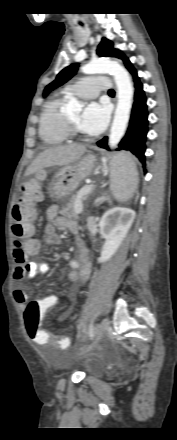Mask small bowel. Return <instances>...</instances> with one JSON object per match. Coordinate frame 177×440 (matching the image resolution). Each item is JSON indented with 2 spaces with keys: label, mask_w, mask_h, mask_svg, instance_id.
I'll return each mask as SVG.
<instances>
[{
  "label": "small bowel",
  "mask_w": 177,
  "mask_h": 440,
  "mask_svg": "<svg viewBox=\"0 0 177 440\" xmlns=\"http://www.w3.org/2000/svg\"><path fill=\"white\" fill-rule=\"evenodd\" d=\"M45 217L48 221L54 222L48 223L43 228L44 243L46 245H58L61 243V237L57 233V228H64L75 230L77 224L75 221L65 217L58 216V206L51 205L46 209ZM35 244L36 249L32 254H35L39 249V244L34 241H30ZM79 247V260H71L69 266L72 268L68 273V279L70 282L76 284L78 282L84 283L90 274V263L88 260V250L83 241L78 240ZM14 257L17 263V267L14 271V279L17 283H20L24 278H33L38 275H43L49 272L50 266L46 262L27 261L26 259L19 258L15 252ZM14 300L21 307H25L27 302V294L22 289H16L13 292ZM44 298H59L57 295H49ZM37 343V342H36ZM51 347V346H49ZM67 347V346H66Z\"/></svg>",
  "instance_id": "small-bowel-1"
}]
</instances>
